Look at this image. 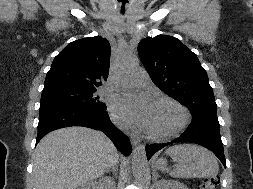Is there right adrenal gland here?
I'll return each mask as SVG.
<instances>
[{
  "label": "right adrenal gland",
  "mask_w": 253,
  "mask_h": 189,
  "mask_svg": "<svg viewBox=\"0 0 253 189\" xmlns=\"http://www.w3.org/2000/svg\"><path fill=\"white\" fill-rule=\"evenodd\" d=\"M106 172H107V173H109V172H113L114 177H116V176H117V168H116V167H113L112 169L107 170Z\"/></svg>",
  "instance_id": "1"
}]
</instances>
